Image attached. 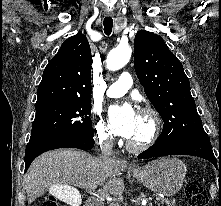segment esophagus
Instances as JSON below:
<instances>
[{"mask_svg":"<svg viewBox=\"0 0 221 206\" xmlns=\"http://www.w3.org/2000/svg\"><path fill=\"white\" fill-rule=\"evenodd\" d=\"M107 16H110V14H107ZM132 168H133V169H135L136 167H135V166H133Z\"/></svg>","mask_w":221,"mask_h":206,"instance_id":"1","label":"esophagus"}]
</instances>
